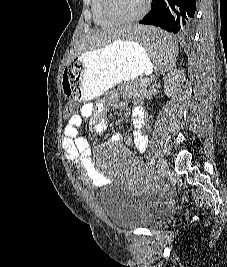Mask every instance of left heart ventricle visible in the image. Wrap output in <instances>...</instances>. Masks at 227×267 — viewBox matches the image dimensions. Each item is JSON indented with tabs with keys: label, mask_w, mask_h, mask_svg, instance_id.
I'll use <instances>...</instances> for the list:
<instances>
[{
	"label": "left heart ventricle",
	"mask_w": 227,
	"mask_h": 267,
	"mask_svg": "<svg viewBox=\"0 0 227 267\" xmlns=\"http://www.w3.org/2000/svg\"><path fill=\"white\" fill-rule=\"evenodd\" d=\"M144 0H110V10L119 18H129L140 12Z\"/></svg>",
	"instance_id": "left-heart-ventricle-1"
}]
</instances>
